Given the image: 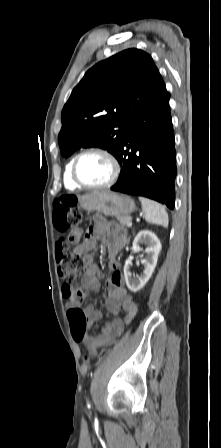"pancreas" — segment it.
Masks as SVG:
<instances>
[{"label": "pancreas", "instance_id": "cf45deb5", "mask_svg": "<svg viewBox=\"0 0 221 448\" xmlns=\"http://www.w3.org/2000/svg\"><path fill=\"white\" fill-rule=\"evenodd\" d=\"M117 220L119 221V223L122 226H125V225H127V223L129 221H131V217L130 216H117Z\"/></svg>", "mask_w": 221, "mask_h": 448}]
</instances>
